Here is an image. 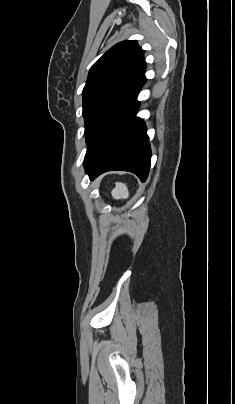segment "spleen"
Instances as JSON below:
<instances>
[{
	"instance_id": "1",
	"label": "spleen",
	"mask_w": 235,
	"mask_h": 404,
	"mask_svg": "<svg viewBox=\"0 0 235 404\" xmlns=\"http://www.w3.org/2000/svg\"><path fill=\"white\" fill-rule=\"evenodd\" d=\"M112 197L116 200L127 199L129 197V191L124 183L117 182L115 188L111 192Z\"/></svg>"
}]
</instances>
